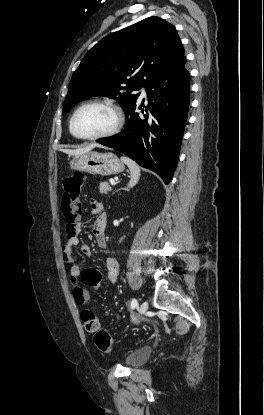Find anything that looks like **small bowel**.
Returning a JSON list of instances; mask_svg holds the SVG:
<instances>
[{
	"label": "small bowel",
	"mask_w": 264,
	"mask_h": 415,
	"mask_svg": "<svg viewBox=\"0 0 264 415\" xmlns=\"http://www.w3.org/2000/svg\"><path fill=\"white\" fill-rule=\"evenodd\" d=\"M91 212L93 214H97L98 217L93 224V234L96 239V243L99 248L106 247V237H105V228L107 223V215L103 210L102 203L98 201H92L91 203ZM82 228V223H78V230ZM79 244V240L76 236L68 237V241L65 245L61 248V257L62 260L70 264V276L72 279H78L81 275V266L79 264L74 263V254H73V247ZM81 253L90 256L91 255V248L87 244H82L80 246ZM105 262V270L107 280L110 283H115L118 278L119 273V266L118 262L114 257L107 256L104 260Z\"/></svg>",
	"instance_id": "c3829d8e"
}]
</instances>
